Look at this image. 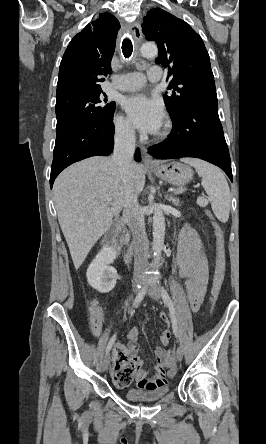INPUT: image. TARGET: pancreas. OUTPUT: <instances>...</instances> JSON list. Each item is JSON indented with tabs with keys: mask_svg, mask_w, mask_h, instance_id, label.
<instances>
[{
	"mask_svg": "<svg viewBox=\"0 0 266 444\" xmlns=\"http://www.w3.org/2000/svg\"><path fill=\"white\" fill-rule=\"evenodd\" d=\"M184 190L182 188H179L177 190L174 191L175 194H180L182 193Z\"/></svg>",
	"mask_w": 266,
	"mask_h": 444,
	"instance_id": "1",
	"label": "pancreas"
}]
</instances>
